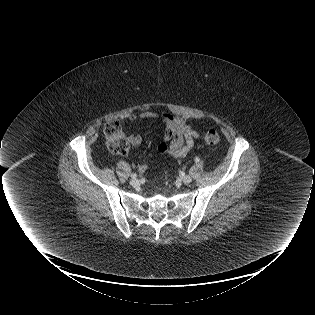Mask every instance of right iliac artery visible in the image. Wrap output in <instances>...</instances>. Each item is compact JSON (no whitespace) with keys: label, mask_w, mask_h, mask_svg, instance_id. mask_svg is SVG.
<instances>
[{"label":"right iliac artery","mask_w":315,"mask_h":315,"mask_svg":"<svg viewBox=\"0 0 315 315\" xmlns=\"http://www.w3.org/2000/svg\"><path fill=\"white\" fill-rule=\"evenodd\" d=\"M131 178H132V179H136V178H137V174H136V173H133V174L131 175Z\"/></svg>","instance_id":"1"}]
</instances>
